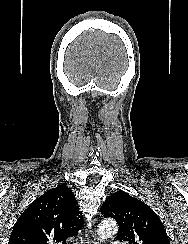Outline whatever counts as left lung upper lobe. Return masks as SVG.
I'll use <instances>...</instances> for the list:
<instances>
[{
	"instance_id": "left-lung-upper-lobe-1",
	"label": "left lung upper lobe",
	"mask_w": 188,
	"mask_h": 244,
	"mask_svg": "<svg viewBox=\"0 0 188 244\" xmlns=\"http://www.w3.org/2000/svg\"><path fill=\"white\" fill-rule=\"evenodd\" d=\"M103 216L119 226L117 239L128 244H170L163 223L144 202L117 191L101 206Z\"/></svg>"
}]
</instances>
